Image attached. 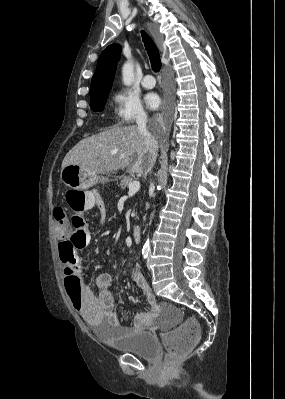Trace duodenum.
Wrapping results in <instances>:
<instances>
[{"mask_svg":"<svg viewBox=\"0 0 285 399\" xmlns=\"http://www.w3.org/2000/svg\"><path fill=\"white\" fill-rule=\"evenodd\" d=\"M133 239L136 243H141L143 238V231L141 227L135 226L132 231Z\"/></svg>","mask_w":285,"mask_h":399,"instance_id":"duodenum-1","label":"duodenum"}]
</instances>
